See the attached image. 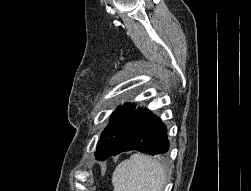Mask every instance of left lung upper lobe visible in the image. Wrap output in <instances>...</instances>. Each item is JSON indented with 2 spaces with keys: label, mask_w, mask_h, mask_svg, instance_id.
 Wrapping results in <instances>:
<instances>
[{
  "label": "left lung upper lobe",
  "mask_w": 251,
  "mask_h": 191,
  "mask_svg": "<svg viewBox=\"0 0 251 191\" xmlns=\"http://www.w3.org/2000/svg\"><path fill=\"white\" fill-rule=\"evenodd\" d=\"M134 109L135 104L126 103L112 114L109 125L104 129L98 141L97 152H95L96 159L105 160L108 158L118 134L124 128Z\"/></svg>",
  "instance_id": "5c2ea615"
}]
</instances>
